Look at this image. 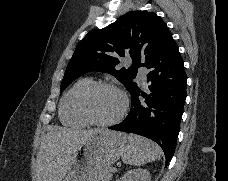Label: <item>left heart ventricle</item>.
Wrapping results in <instances>:
<instances>
[{
  "instance_id": "left-heart-ventricle-1",
  "label": "left heart ventricle",
  "mask_w": 228,
  "mask_h": 181,
  "mask_svg": "<svg viewBox=\"0 0 228 181\" xmlns=\"http://www.w3.org/2000/svg\"><path fill=\"white\" fill-rule=\"evenodd\" d=\"M120 94L113 88L96 89L89 102L88 110L97 120H108L116 116L122 109Z\"/></svg>"
}]
</instances>
